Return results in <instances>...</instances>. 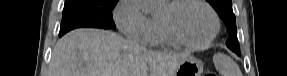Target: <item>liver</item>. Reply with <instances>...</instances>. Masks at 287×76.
<instances>
[{
	"mask_svg": "<svg viewBox=\"0 0 287 76\" xmlns=\"http://www.w3.org/2000/svg\"><path fill=\"white\" fill-rule=\"evenodd\" d=\"M186 57L148 50L111 31L83 28L58 40L49 76H174Z\"/></svg>",
	"mask_w": 287,
	"mask_h": 76,
	"instance_id": "6515ba94",
	"label": "liver"
}]
</instances>
